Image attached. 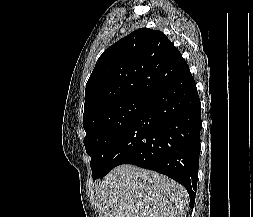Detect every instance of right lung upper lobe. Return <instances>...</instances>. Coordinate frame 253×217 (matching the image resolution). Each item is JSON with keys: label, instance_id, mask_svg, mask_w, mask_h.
I'll list each match as a JSON object with an SVG mask.
<instances>
[{"label": "right lung upper lobe", "instance_id": "right-lung-upper-lobe-1", "mask_svg": "<svg viewBox=\"0 0 253 217\" xmlns=\"http://www.w3.org/2000/svg\"><path fill=\"white\" fill-rule=\"evenodd\" d=\"M186 65L163 32L149 28L132 32L99 57L86 84L83 122L122 99L149 98Z\"/></svg>", "mask_w": 253, "mask_h": 217}]
</instances>
